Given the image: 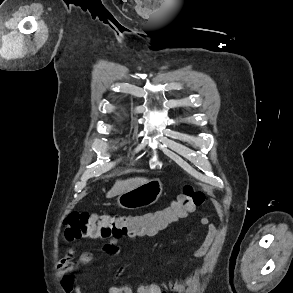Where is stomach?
Masks as SVG:
<instances>
[{"mask_svg": "<svg viewBox=\"0 0 293 293\" xmlns=\"http://www.w3.org/2000/svg\"><path fill=\"white\" fill-rule=\"evenodd\" d=\"M162 191V182L159 179H152L132 190L120 194L117 197V204L121 208L128 210L147 207L157 202Z\"/></svg>", "mask_w": 293, "mask_h": 293, "instance_id": "stomach-1", "label": "stomach"}]
</instances>
